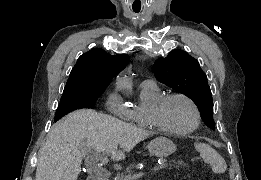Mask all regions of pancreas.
Masks as SVG:
<instances>
[{
	"instance_id": "cf45deb5",
	"label": "pancreas",
	"mask_w": 261,
	"mask_h": 180,
	"mask_svg": "<svg viewBox=\"0 0 261 180\" xmlns=\"http://www.w3.org/2000/svg\"><path fill=\"white\" fill-rule=\"evenodd\" d=\"M136 166L135 162H130L126 169H123L121 171V174H116V177L118 180H124L125 176H129L132 174V170ZM187 167H189V162L185 159H173V163L171 165V170H187ZM117 178H114V180H117Z\"/></svg>"
}]
</instances>
